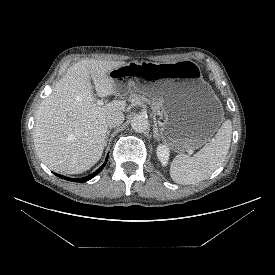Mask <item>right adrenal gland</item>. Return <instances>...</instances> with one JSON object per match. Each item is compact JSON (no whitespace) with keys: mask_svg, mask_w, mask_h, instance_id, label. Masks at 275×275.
Returning a JSON list of instances; mask_svg holds the SVG:
<instances>
[{"mask_svg":"<svg viewBox=\"0 0 275 275\" xmlns=\"http://www.w3.org/2000/svg\"><path fill=\"white\" fill-rule=\"evenodd\" d=\"M109 134H110V130H108V131H107V134H106V140H105V144H106V143H107V141H108Z\"/></svg>","mask_w":275,"mask_h":275,"instance_id":"2a0ac1e0","label":"right adrenal gland"}]
</instances>
